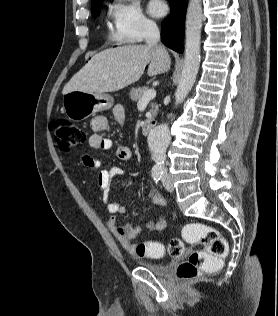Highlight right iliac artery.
Instances as JSON below:
<instances>
[{
    "label": "right iliac artery",
    "instance_id": "1",
    "mask_svg": "<svg viewBox=\"0 0 278 316\" xmlns=\"http://www.w3.org/2000/svg\"><path fill=\"white\" fill-rule=\"evenodd\" d=\"M163 174V169L161 167L155 166L152 169V178L156 181L159 182L162 178Z\"/></svg>",
    "mask_w": 278,
    "mask_h": 316
}]
</instances>
